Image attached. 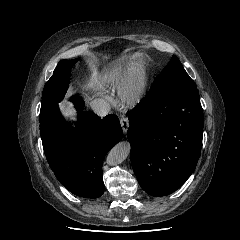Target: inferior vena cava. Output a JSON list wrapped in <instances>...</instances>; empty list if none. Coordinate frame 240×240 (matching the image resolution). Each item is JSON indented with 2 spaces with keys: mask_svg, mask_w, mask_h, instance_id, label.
<instances>
[{
  "mask_svg": "<svg viewBox=\"0 0 240 240\" xmlns=\"http://www.w3.org/2000/svg\"><path fill=\"white\" fill-rule=\"evenodd\" d=\"M90 106L92 110L100 117H104L110 112V104L108 101L102 98L94 99L90 103Z\"/></svg>",
  "mask_w": 240,
  "mask_h": 240,
  "instance_id": "inferior-vena-cava-1",
  "label": "inferior vena cava"
}]
</instances>
